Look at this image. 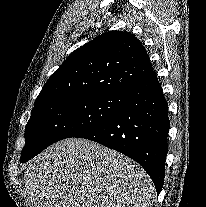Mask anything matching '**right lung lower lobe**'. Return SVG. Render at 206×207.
<instances>
[{"mask_svg":"<svg viewBox=\"0 0 206 207\" xmlns=\"http://www.w3.org/2000/svg\"><path fill=\"white\" fill-rule=\"evenodd\" d=\"M169 126L168 104L153 72L126 91L118 112L76 137L98 142L138 162L159 194L165 177Z\"/></svg>","mask_w":206,"mask_h":207,"instance_id":"right-lung-lower-lobe-1","label":"right lung lower lobe"}]
</instances>
